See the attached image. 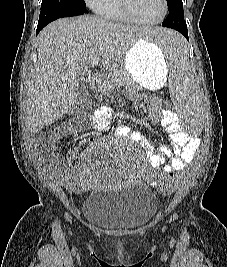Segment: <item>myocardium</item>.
<instances>
[{
	"mask_svg": "<svg viewBox=\"0 0 227 267\" xmlns=\"http://www.w3.org/2000/svg\"><path fill=\"white\" fill-rule=\"evenodd\" d=\"M132 2L133 0H119L120 3V7L121 10L123 11V13L133 22L138 23V24H142V25H155V24H159L160 22H162L167 13H168V0H162V4H163V11L161 16L156 19V20H143L141 19L134 11L133 6H132Z\"/></svg>",
	"mask_w": 227,
	"mask_h": 267,
	"instance_id": "1",
	"label": "myocardium"
}]
</instances>
